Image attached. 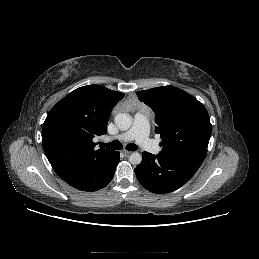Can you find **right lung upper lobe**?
<instances>
[{"mask_svg":"<svg viewBox=\"0 0 259 259\" xmlns=\"http://www.w3.org/2000/svg\"><path fill=\"white\" fill-rule=\"evenodd\" d=\"M123 97L101 85H87L72 91L51 109L43 124L42 144L60 178H69L112 155V150H95L93 138L105 134L111 110Z\"/></svg>","mask_w":259,"mask_h":259,"instance_id":"obj_1","label":"right lung upper lobe"}]
</instances>
